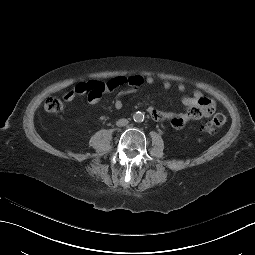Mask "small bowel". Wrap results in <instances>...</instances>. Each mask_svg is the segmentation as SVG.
Returning <instances> with one entry per match:
<instances>
[{"mask_svg": "<svg viewBox=\"0 0 255 255\" xmlns=\"http://www.w3.org/2000/svg\"><path fill=\"white\" fill-rule=\"evenodd\" d=\"M154 83L152 76H131V77H116L110 81L103 83L96 80H90L87 82H79L75 87L64 95V100L70 102L78 96H87L90 103H98L102 95L124 86H128L126 90H120L114 100V107L121 109L123 106L122 97L128 93L136 91L143 84L151 85ZM164 89H170L172 83L169 80L162 82ZM176 89L179 92L185 91V85L178 83ZM182 103L187 107V111L183 113H169L160 111L154 107L147 109L150 116L156 120L161 121L169 119L171 126L175 129L182 128L190 120H199L203 117H210L216 108L214 101L203 96L199 91H195L192 95H187L182 98Z\"/></svg>", "mask_w": 255, "mask_h": 255, "instance_id": "1", "label": "small bowel"}]
</instances>
